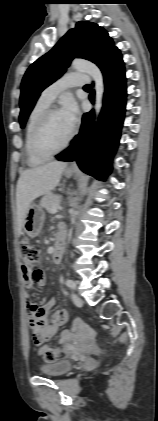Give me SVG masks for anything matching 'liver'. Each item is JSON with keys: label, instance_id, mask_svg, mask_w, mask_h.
Segmentation results:
<instances>
[{"label": "liver", "instance_id": "obj_1", "mask_svg": "<svg viewBox=\"0 0 158 421\" xmlns=\"http://www.w3.org/2000/svg\"><path fill=\"white\" fill-rule=\"evenodd\" d=\"M67 167L66 162H51L23 171L17 182V226L18 233L23 228V220L31 203L38 197L54 190Z\"/></svg>", "mask_w": 158, "mask_h": 421}]
</instances>
